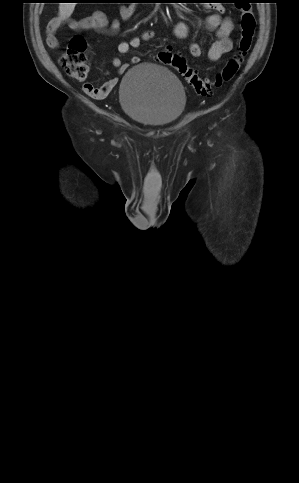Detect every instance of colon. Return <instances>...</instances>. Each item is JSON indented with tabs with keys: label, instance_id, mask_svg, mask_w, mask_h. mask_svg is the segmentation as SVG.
<instances>
[{
	"label": "colon",
	"instance_id": "5ec220e1",
	"mask_svg": "<svg viewBox=\"0 0 299 483\" xmlns=\"http://www.w3.org/2000/svg\"><path fill=\"white\" fill-rule=\"evenodd\" d=\"M240 17V36L234 55L226 62L225 66L213 77L202 78L187 63L181 55L170 50H162L155 55V61L174 68L192 87L194 92L202 97L210 96L215 90L231 81L239 71L244 59L248 55L256 27V20L251 9L242 8ZM86 39L83 36H75L65 50L61 65L67 74L85 85L89 66L86 61Z\"/></svg>",
	"mask_w": 299,
	"mask_h": 483
}]
</instances>
